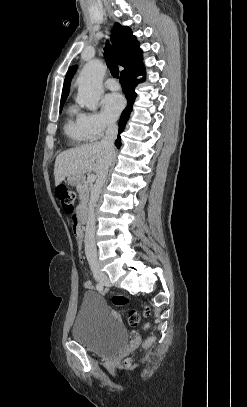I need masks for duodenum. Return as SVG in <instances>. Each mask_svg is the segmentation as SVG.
<instances>
[{"instance_id":"410a0bca","label":"duodenum","mask_w":247,"mask_h":407,"mask_svg":"<svg viewBox=\"0 0 247 407\" xmlns=\"http://www.w3.org/2000/svg\"><path fill=\"white\" fill-rule=\"evenodd\" d=\"M77 222L84 224L86 222L87 219V209L85 206H81L78 210V214H77Z\"/></svg>"}]
</instances>
